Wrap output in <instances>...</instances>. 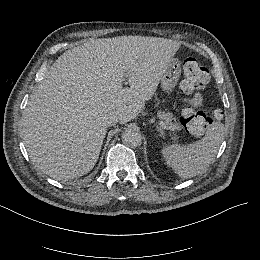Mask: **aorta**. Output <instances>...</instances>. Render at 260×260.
<instances>
[{
	"instance_id": "762f6f07",
	"label": "aorta",
	"mask_w": 260,
	"mask_h": 260,
	"mask_svg": "<svg viewBox=\"0 0 260 260\" xmlns=\"http://www.w3.org/2000/svg\"><path fill=\"white\" fill-rule=\"evenodd\" d=\"M122 141L132 147L140 146L142 143V135L133 128H128L122 133Z\"/></svg>"
}]
</instances>
